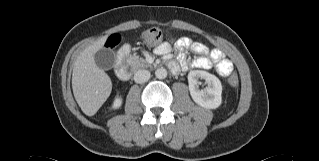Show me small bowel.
<instances>
[{"mask_svg": "<svg viewBox=\"0 0 319 161\" xmlns=\"http://www.w3.org/2000/svg\"><path fill=\"white\" fill-rule=\"evenodd\" d=\"M176 47L179 51V63L172 62L175 68L172 70L174 73L178 72L180 68L187 69L189 67L210 69L215 67L217 73L222 77H228L234 71L233 63L226 58L225 54L219 49L210 50L205 44L201 42H193L188 37L180 38ZM190 49L195 54L200 55L192 62H188L186 58V50ZM158 55H167L170 52V45L167 42L161 43L155 49Z\"/></svg>", "mask_w": 319, "mask_h": 161, "instance_id": "c3829d8e", "label": "small bowel"}]
</instances>
